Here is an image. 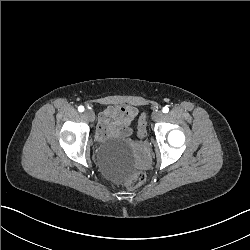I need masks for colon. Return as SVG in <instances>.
<instances>
[{
  "label": "colon",
  "mask_w": 250,
  "mask_h": 250,
  "mask_svg": "<svg viewBox=\"0 0 250 250\" xmlns=\"http://www.w3.org/2000/svg\"><path fill=\"white\" fill-rule=\"evenodd\" d=\"M146 115L144 113L141 114L139 123L141 130L145 129L146 127ZM139 140H142L145 137V132L141 131L138 134ZM148 176L145 171L139 170L134 173L132 177L127 176L122 179L121 185L124 190H127L129 192H135L137 189H139L143 184L147 182Z\"/></svg>",
  "instance_id": "obj_1"
}]
</instances>
